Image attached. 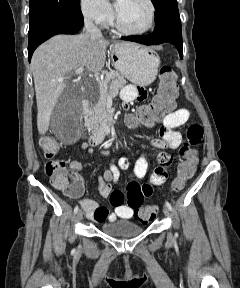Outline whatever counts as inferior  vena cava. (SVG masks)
Returning <instances> with one entry per match:
<instances>
[{"label": "inferior vena cava", "mask_w": 240, "mask_h": 288, "mask_svg": "<svg viewBox=\"0 0 240 288\" xmlns=\"http://www.w3.org/2000/svg\"><path fill=\"white\" fill-rule=\"evenodd\" d=\"M84 27L86 33L91 36V38H100L102 37V33L100 29L93 23L92 18L88 17L84 20Z\"/></svg>", "instance_id": "inferior-vena-cava-1"}]
</instances>
